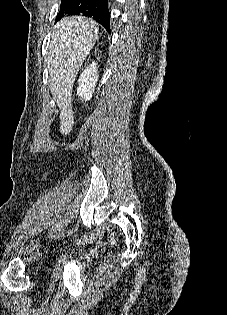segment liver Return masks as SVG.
<instances>
[{
	"mask_svg": "<svg viewBox=\"0 0 227 315\" xmlns=\"http://www.w3.org/2000/svg\"><path fill=\"white\" fill-rule=\"evenodd\" d=\"M99 24L93 19L70 16L60 20L51 37L47 66L50 90L61 109L60 131L73 126L72 90L76 76L98 38Z\"/></svg>",
	"mask_w": 227,
	"mask_h": 315,
	"instance_id": "obj_1",
	"label": "liver"
}]
</instances>
